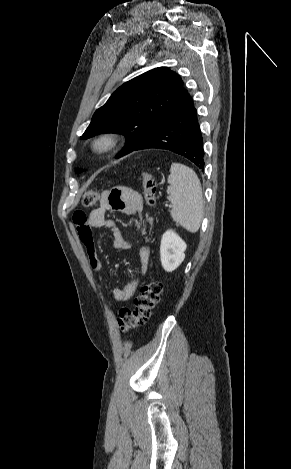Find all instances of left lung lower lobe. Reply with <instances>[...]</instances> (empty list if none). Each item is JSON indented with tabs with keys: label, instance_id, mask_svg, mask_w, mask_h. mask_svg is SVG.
<instances>
[{
	"label": "left lung lower lobe",
	"instance_id": "left-lung-lower-lobe-1",
	"mask_svg": "<svg viewBox=\"0 0 291 469\" xmlns=\"http://www.w3.org/2000/svg\"><path fill=\"white\" fill-rule=\"evenodd\" d=\"M148 148L170 150L204 169L203 138L197 111L188 92L160 124L128 153Z\"/></svg>",
	"mask_w": 291,
	"mask_h": 469
}]
</instances>
